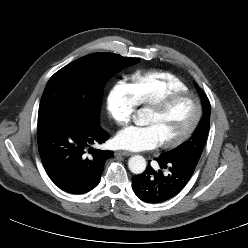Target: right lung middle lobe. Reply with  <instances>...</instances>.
<instances>
[{"label":"right lung middle lobe","instance_id":"obj_1","mask_svg":"<svg viewBox=\"0 0 248 248\" xmlns=\"http://www.w3.org/2000/svg\"><path fill=\"white\" fill-rule=\"evenodd\" d=\"M138 58L113 53H93L57 71L43 92L38 120L65 118L73 123H99L105 83Z\"/></svg>","mask_w":248,"mask_h":248}]
</instances>
